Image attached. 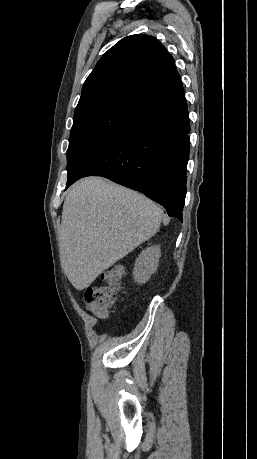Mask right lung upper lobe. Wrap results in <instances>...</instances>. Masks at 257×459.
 <instances>
[{"instance_id": "cb5924a9", "label": "right lung upper lobe", "mask_w": 257, "mask_h": 459, "mask_svg": "<svg viewBox=\"0 0 257 459\" xmlns=\"http://www.w3.org/2000/svg\"><path fill=\"white\" fill-rule=\"evenodd\" d=\"M180 81L173 57L156 38L125 37L100 58L87 77L73 118L108 106L136 110Z\"/></svg>"}]
</instances>
